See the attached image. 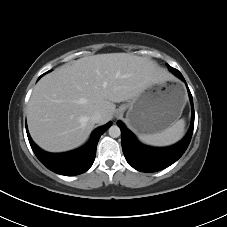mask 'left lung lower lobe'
<instances>
[{
	"label": "left lung lower lobe",
	"mask_w": 227,
	"mask_h": 227,
	"mask_svg": "<svg viewBox=\"0 0 227 227\" xmlns=\"http://www.w3.org/2000/svg\"><path fill=\"white\" fill-rule=\"evenodd\" d=\"M177 77L185 82L182 74L175 68H171ZM188 88V86H187ZM189 98L192 106V122L187 135L177 144L166 148H154L142 145L135 136L118 121L117 125L121 129V144L127 162L136 170L142 172H156L172 165L186 151L194 128V107L191 92L188 88Z\"/></svg>",
	"instance_id": "obj_1"
}]
</instances>
